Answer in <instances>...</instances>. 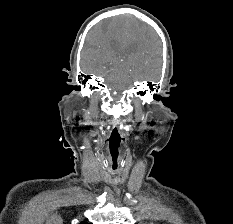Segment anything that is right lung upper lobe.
<instances>
[{
    "mask_svg": "<svg viewBox=\"0 0 233 224\" xmlns=\"http://www.w3.org/2000/svg\"><path fill=\"white\" fill-rule=\"evenodd\" d=\"M80 224H87L86 222H82V223H80Z\"/></svg>",
    "mask_w": 233,
    "mask_h": 224,
    "instance_id": "cb5924a9",
    "label": "right lung upper lobe"
}]
</instances>
